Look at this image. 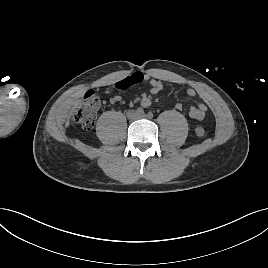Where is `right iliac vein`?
I'll return each mask as SVG.
<instances>
[{
    "label": "right iliac vein",
    "mask_w": 268,
    "mask_h": 268,
    "mask_svg": "<svg viewBox=\"0 0 268 268\" xmlns=\"http://www.w3.org/2000/svg\"><path fill=\"white\" fill-rule=\"evenodd\" d=\"M127 117H128V119H130V120H136V119L138 118V114H137V112H135L134 110H130V111H128V113H127Z\"/></svg>",
    "instance_id": "obj_1"
}]
</instances>
